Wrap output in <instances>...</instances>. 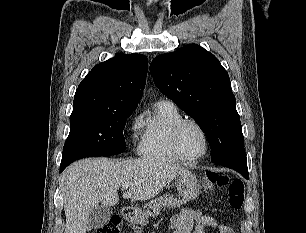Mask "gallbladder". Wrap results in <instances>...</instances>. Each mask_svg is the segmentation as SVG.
Wrapping results in <instances>:
<instances>
[{
    "label": "gallbladder",
    "mask_w": 306,
    "mask_h": 233,
    "mask_svg": "<svg viewBox=\"0 0 306 233\" xmlns=\"http://www.w3.org/2000/svg\"><path fill=\"white\" fill-rule=\"evenodd\" d=\"M111 210L104 205H96L90 211L88 225L90 228H100L108 222L111 216Z\"/></svg>",
    "instance_id": "1"
}]
</instances>
